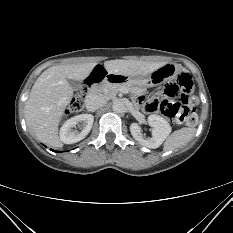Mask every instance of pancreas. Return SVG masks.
<instances>
[{
    "instance_id": "1",
    "label": "pancreas",
    "mask_w": 233,
    "mask_h": 233,
    "mask_svg": "<svg viewBox=\"0 0 233 233\" xmlns=\"http://www.w3.org/2000/svg\"><path fill=\"white\" fill-rule=\"evenodd\" d=\"M101 89H102L103 95L107 98H112L116 96V94L121 90L130 92L134 95L142 92V89L131 88L127 86L126 84H120V83H116V84L104 83L101 85Z\"/></svg>"
}]
</instances>
